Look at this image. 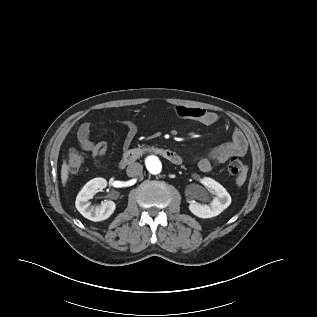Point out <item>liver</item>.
Returning a JSON list of instances; mask_svg holds the SVG:
<instances>
[{
    "label": "liver",
    "instance_id": "liver-1",
    "mask_svg": "<svg viewBox=\"0 0 317 317\" xmlns=\"http://www.w3.org/2000/svg\"><path fill=\"white\" fill-rule=\"evenodd\" d=\"M61 180L62 184L65 185L68 180V165L66 164V161L63 162L62 168H61Z\"/></svg>",
    "mask_w": 317,
    "mask_h": 317
}]
</instances>
